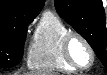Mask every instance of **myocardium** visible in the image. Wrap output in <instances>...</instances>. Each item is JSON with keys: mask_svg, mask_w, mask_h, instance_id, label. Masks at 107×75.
I'll list each match as a JSON object with an SVG mask.
<instances>
[{"mask_svg": "<svg viewBox=\"0 0 107 75\" xmlns=\"http://www.w3.org/2000/svg\"><path fill=\"white\" fill-rule=\"evenodd\" d=\"M75 38L82 41L85 44V46L87 47V49L89 50L90 62L87 65H80L73 59V57L71 55L70 44H71L72 40ZM62 54H63L65 61L70 66H72L73 68L78 69V70H87V69L91 68L95 61V51H94L92 45L90 44V42L83 35H81L78 32H74V31H70L64 36V38L62 40Z\"/></svg>", "mask_w": 107, "mask_h": 75, "instance_id": "f54148a6", "label": "myocardium"}]
</instances>
